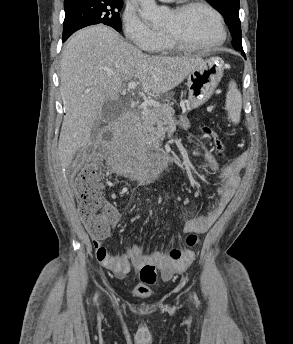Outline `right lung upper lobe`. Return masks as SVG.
I'll return each mask as SVG.
<instances>
[{
    "label": "right lung upper lobe",
    "mask_w": 293,
    "mask_h": 344,
    "mask_svg": "<svg viewBox=\"0 0 293 344\" xmlns=\"http://www.w3.org/2000/svg\"><path fill=\"white\" fill-rule=\"evenodd\" d=\"M75 1H78V0H64V4H67V3H70V2H75Z\"/></svg>",
    "instance_id": "obj_1"
}]
</instances>
